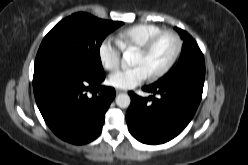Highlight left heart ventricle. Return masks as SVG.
<instances>
[{
    "instance_id": "1",
    "label": "left heart ventricle",
    "mask_w": 248,
    "mask_h": 165,
    "mask_svg": "<svg viewBox=\"0 0 248 165\" xmlns=\"http://www.w3.org/2000/svg\"><path fill=\"white\" fill-rule=\"evenodd\" d=\"M174 50V41L171 37H164L147 54L137 53L134 65H144L150 74L159 70L169 60Z\"/></svg>"
}]
</instances>
